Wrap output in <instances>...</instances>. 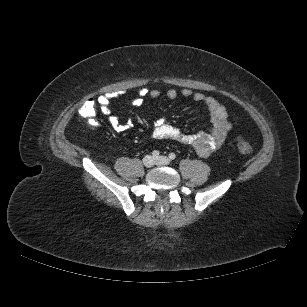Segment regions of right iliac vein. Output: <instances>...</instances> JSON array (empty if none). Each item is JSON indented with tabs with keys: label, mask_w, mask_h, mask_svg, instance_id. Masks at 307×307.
I'll list each match as a JSON object with an SVG mask.
<instances>
[{
	"label": "right iliac vein",
	"mask_w": 307,
	"mask_h": 307,
	"mask_svg": "<svg viewBox=\"0 0 307 307\" xmlns=\"http://www.w3.org/2000/svg\"><path fill=\"white\" fill-rule=\"evenodd\" d=\"M143 164L147 168L152 167L155 164L154 158L151 155H146L143 158Z\"/></svg>",
	"instance_id": "obj_1"
}]
</instances>
